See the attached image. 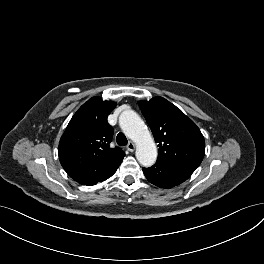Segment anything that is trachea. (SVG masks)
I'll return each mask as SVG.
<instances>
[{"mask_svg": "<svg viewBox=\"0 0 264 264\" xmlns=\"http://www.w3.org/2000/svg\"><path fill=\"white\" fill-rule=\"evenodd\" d=\"M117 144L120 146H125L128 143L126 136L123 133H119L116 137Z\"/></svg>", "mask_w": 264, "mask_h": 264, "instance_id": "1", "label": "trachea"}]
</instances>
